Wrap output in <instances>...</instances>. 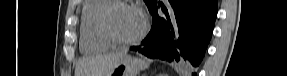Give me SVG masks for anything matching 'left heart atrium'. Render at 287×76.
Segmentation results:
<instances>
[{
    "mask_svg": "<svg viewBox=\"0 0 287 76\" xmlns=\"http://www.w3.org/2000/svg\"><path fill=\"white\" fill-rule=\"evenodd\" d=\"M135 9L139 13V15L143 18V13H142L141 9L138 7H136Z\"/></svg>",
    "mask_w": 287,
    "mask_h": 76,
    "instance_id": "1",
    "label": "left heart atrium"
}]
</instances>
